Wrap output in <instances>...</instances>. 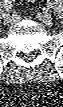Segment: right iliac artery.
<instances>
[{"label":"right iliac artery","mask_w":63,"mask_h":107,"mask_svg":"<svg viewBox=\"0 0 63 107\" xmlns=\"http://www.w3.org/2000/svg\"><path fill=\"white\" fill-rule=\"evenodd\" d=\"M4 8L7 12H10L11 11V8H12V4H11V1L9 0H5L4 1ZM6 13L3 14V16L5 15Z\"/></svg>","instance_id":"obj_1"}]
</instances>
